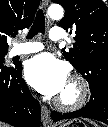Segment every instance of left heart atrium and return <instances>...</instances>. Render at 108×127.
Returning a JSON list of instances; mask_svg holds the SVG:
<instances>
[{
	"label": "left heart atrium",
	"mask_w": 108,
	"mask_h": 127,
	"mask_svg": "<svg viewBox=\"0 0 108 127\" xmlns=\"http://www.w3.org/2000/svg\"><path fill=\"white\" fill-rule=\"evenodd\" d=\"M24 73L31 86L49 96L59 95L68 82V72L64 63L48 53L31 58Z\"/></svg>",
	"instance_id": "obj_1"
}]
</instances>
